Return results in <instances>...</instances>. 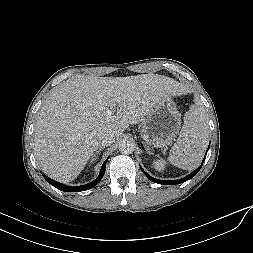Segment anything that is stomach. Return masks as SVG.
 Returning a JSON list of instances; mask_svg holds the SVG:
<instances>
[{
    "label": "stomach",
    "instance_id": "1",
    "mask_svg": "<svg viewBox=\"0 0 253 253\" xmlns=\"http://www.w3.org/2000/svg\"><path fill=\"white\" fill-rule=\"evenodd\" d=\"M180 128L181 114L171 96H167L144 118L141 137L148 146L163 148L176 139Z\"/></svg>",
    "mask_w": 253,
    "mask_h": 253
}]
</instances>
